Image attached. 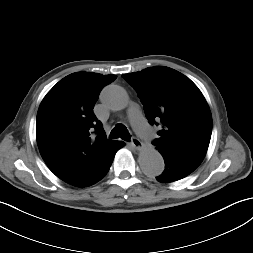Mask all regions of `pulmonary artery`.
Listing matches in <instances>:
<instances>
[{
  "label": "pulmonary artery",
  "instance_id": "1",
  "mask_svg": "<svg viewBox=\"0 0 253 253\" xmlns=\"http://www.w3.org/2000/svg\"><path fill=\"white\" fill-rule=\"evenodd\" d=\"M141 117V114L138 109L133 108L130 112V118L132 121H135L136 119H139Z\"/></svg>",
  "mask_w": 253,
  "mask_h": 253
}]
</instances>
